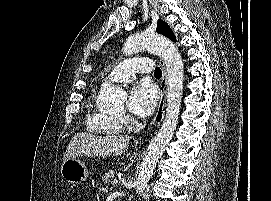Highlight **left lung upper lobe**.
I'll return each instance as SVG.
<instances>
[{"label": "left lung upper lobe", "mask_w": 271, "mask_h": 201, "mask_svg": "<svg viewBox=\"0 0 271 201\" xmlns=\"http://www.w3.org/2000/svg\"><path fill=\"white\" fill-rule=\"evenodd\" d=\"M156 31L159 34H162V35L168 37L169 39L176 41V38H175L172 30L170 29V27L167 25V23H165L164 21H162L160 19L158 20V25H157Z\"/></svg>", "instance_id": "1"}]
</instances>
